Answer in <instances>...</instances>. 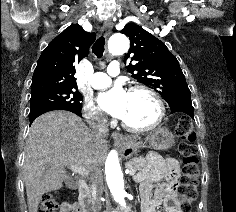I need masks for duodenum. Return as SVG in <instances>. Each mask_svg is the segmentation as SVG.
<instances>
[{"label": "duodenum", "instance_id": "410a0bca", "mask_svg": "<svg viewBox=\"0 0 236 212\" xmlns=\"http://www.w3.org/2000/svg\"><path fill=\"white\" fill-rule=\"evenodd\" d=\"M79 191V207L81 212H96V207L91 199L90 189L86 182L80 181Z\"/></svg>", "mask_w": 236, "mask_h": 212}]
</instances>
